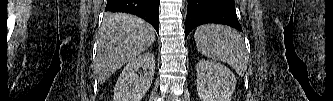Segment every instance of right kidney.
<instances>
[{"instance_id":"1","label":"right kidney","mask_w":333,"mask_h":101,"mask_svg":"<svg viewBox=\"0 0 333 101\" xmlns=\"http://www.w3.org/2000/svg\"><path fill=\"white\" fill-rule=\"evenodd\" d=\"M143 69V73L137 75ZM155 71L153 53L133 58L123 69L114 88V101H141L151 86Z\"/></svg>"}]
</instances>
